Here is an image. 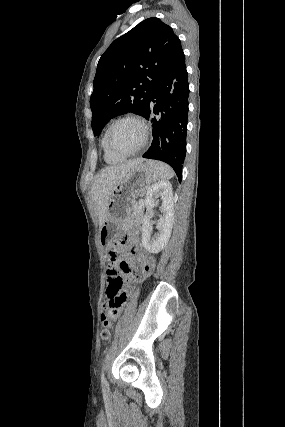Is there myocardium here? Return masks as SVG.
Segmentation results:
<instances>
[{
	"label": "myocardium",
	"mask_w": 285,
	"mask_h": 427,
	"mask_svg": "<svg viewBox=\"0 0 285 427\" xmlns=\"http://www.w3.org/2000/svg\"><path fill=\"white\" fill-rule=\"evenodd\" d=\"M123 121L136 122L137 124L140 125V127L142 129L141 142L139 143V145L134 150H132L130 152L119 151V150L115 149L110 143V134H111L112 129L114 128L115 125H117L118 123L123 122ZM148 136H149V125H148L147 121L138 115L129 114V115H124V116L118 117L109 125V127L106 130L105 142H106L107 148L113 154H116V155L122 156V157H130V156L137 154L140 150H142L144 148V146L146 145V143L148 141Z\"/></svg>",
	"instance_id": "f54148a6"
}]
</instances>
